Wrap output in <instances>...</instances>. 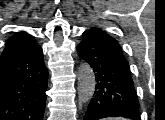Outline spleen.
<instances>
[{"label": "spleen", "instance_id": "1", "mask_svg": "<svg viewBox=\"0 0 165 120\" xmlns=\"http://www.w3.org/2000/svg\"><path fill=\"white\" fill-rule=\"evenodd\" d=\"M105 120H126V119L119 117V118H107Z\"/></svg>", "mask_w": 165, "mask_h": 120}]
</instances>
